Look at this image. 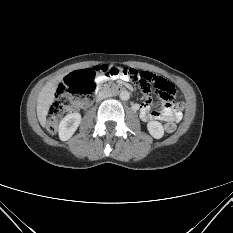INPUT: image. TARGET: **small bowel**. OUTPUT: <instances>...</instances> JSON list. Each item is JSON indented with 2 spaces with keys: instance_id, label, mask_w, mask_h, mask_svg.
I'll return each instance as SVG.
<instances>
[{
  "instance_id": "small-bowel-1",
  "label": "small bowel",
  "mask_w": 233,
  "mask_h": 233,
  "mask_svg": "<svg viewBox=\"0 0 233 233\" xmlns=\"http://www.w3.org/2000/svg\"><path fill=\"white\" fill-rule=\"evenodd\" d=\"M154 76L151 73H146ZM140 117L143 121L159 120L166 123H176L181 120V113L176 110L168 101L158 109H152L148 97H144L143 103L140 106Z\"/></svg>"
}]
</instances>
